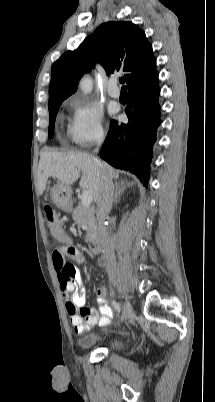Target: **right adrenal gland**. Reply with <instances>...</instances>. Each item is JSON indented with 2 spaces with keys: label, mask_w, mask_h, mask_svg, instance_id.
I'll list each match as a JSON object with an SVG mask.
<instances>
[{
  "label": "right adrenal gland",
  "mask_w": 215,
  "mask_h": 402,
  "mask_svg": "<svg viewBox=\"0 0 215 402\" xmlns=\"http://www.w3.org/2000/svg\"><path fill=\"white\" fill-rule=\"evenodd\" d=\"M130 186V183L127 182H116L113 185V190H114V203L117 204L119 201V197L122 195V193L126 190L127 187Z\"/></svg>",
  "instance_id": "1"
}]
</instances>
